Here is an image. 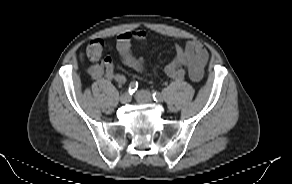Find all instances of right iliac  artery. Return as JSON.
Masks as SVG:
<instances>
[{"instance_id": "obj_1", "label": "right iliac artery", "mask_w": 292, "mask_h": 184, "mask_svg": "<svg viewBox=\"0 0 292 184\" xmlns=\"http://www.w3.org/2000/svg\"><path fill=\"white\" fill-rule=\"evenodd\" d=\"M138 88V83L133 81L129 84L128 92L132 95Z\"/></svg>"}]
</instances>
